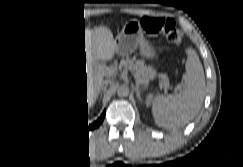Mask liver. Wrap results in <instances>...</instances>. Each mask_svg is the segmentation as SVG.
<instances>
[{
	"instance_id": "1",
	"label": "liver",
	"mask_w": 243,
	"mask_h": 167,
	"mask_svg": "<svg viewBox=\"0 0 243 167\" xmlns=\"http://www.w3.org/2000/svg\"><path fill=\"white\" fill-rule=\"evenodd\" d=\"M85 53L87 60V103L93 104L100 90L103 75L96 67H92V60H108L115 50L113 37L106 27L86 31Z\"/></svg>"
}]
</instances>
